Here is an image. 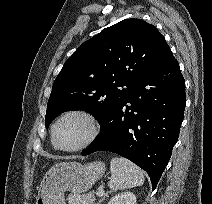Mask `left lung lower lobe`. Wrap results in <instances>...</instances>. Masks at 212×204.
<instances>
[{"label": "left lung lower lobe", "instance_id": "obj_1", "mask_svg": "<svg viewBox=\"0 0 212 204\" xmlns=\"http://www.w3.org/2000/svg\"><path fill=\"white\" fill-rule=\"evenodd\" d=\"M185 104V81L169 49L100 123V134L81 155L117 153L145 170L154 190L177 142Z\"/></svg>", "mask_w": 212, "mask_h": 204}]
</instances>
